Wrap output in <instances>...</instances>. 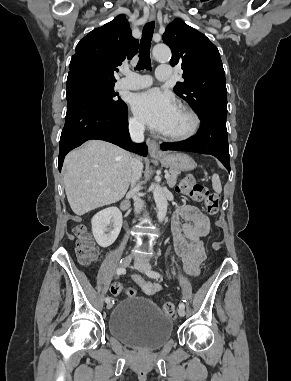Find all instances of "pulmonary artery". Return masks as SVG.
I'll use <instances>...</instances> for the list:
<instances>
[{
	"instance_id": "1",
	"label": "pulmonary artery",
	"mask_w": 291,
	"mask_h": 381,
	"mask_svg": "<svg viewBox=\"0 0 291 381\" xmlns=\"http://www.w3.org/2000/svg\"><path fill=\"white\" fill-rule=\"evenodd\" d=\"M172 68L169 65H159L155 76L159 81H166L171 78ZM152 79L149 75H141L130 71L124 72V77L119 80L118 87L127 90H138L149 87Z\"/></svg>"
}]
</instances>
